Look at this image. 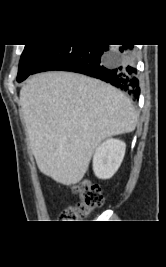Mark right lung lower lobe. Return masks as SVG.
Wrapping results in <instances>:
<instances>
[{"mask_svg": "<svg viewBox=\"0 0 166 267\" xmlns=\"http://www.w3.org/2000/svg\"><path fill=\"white\" fill-rule=\"evenodd\" d=\"M73 71L103 80L138 100L140 94L133 46L57 45L32 74Z\"/></svg>", "mask_w": 166, "mask_h": 267, "instance_id": "1", "label": "right lung lower lobe"}]
</instances>
